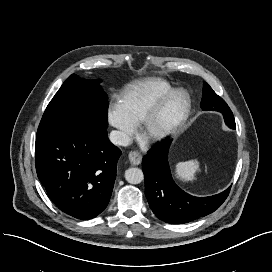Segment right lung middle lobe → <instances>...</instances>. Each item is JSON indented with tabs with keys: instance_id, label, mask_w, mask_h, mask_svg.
<instances>
[{
	"instance_id": "1",
	"label": "right lung middle lobe",
	"mask_w": 272,
	"mask_h": 272,
	"mask_svg": "<svg viewBox=\"0 0 272 272\" xmlns=\"http://www.w3.org/2000/svg\"><path fill=\"white\" fill-rule=\"evenodd\" d=\"M101 80L69 76L48 104L38 132L59 131L75 125L93 130L106 129L108 97Z\"/></svg>"
}]
</instances>
